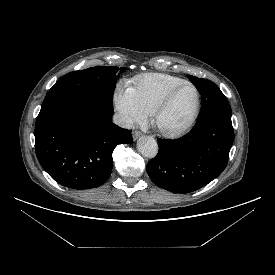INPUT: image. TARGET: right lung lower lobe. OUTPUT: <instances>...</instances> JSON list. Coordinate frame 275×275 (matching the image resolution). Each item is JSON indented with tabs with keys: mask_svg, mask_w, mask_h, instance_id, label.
Returning <instances> with one entry per match:
<instances>
[{
	"mask_svg": "<svg viewBox=\"0 0 275 275\" xmlns=\"http://www.w3.org/2000/svg\"><path fill=\"white\" fill-rule=\"evenodd\" d=\"M113 106L87 94L45 98L35 126V151L44 170L72 189L102 185L112 152L132 142L131 131L111 122Z\"/></svg>",
	"mask_w": 275,
	"mask_h": 275,
	"instance_id": "1",
	"label": "right lung lower lobe"
}]
</instances>
